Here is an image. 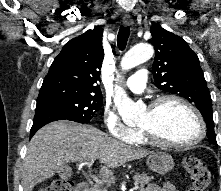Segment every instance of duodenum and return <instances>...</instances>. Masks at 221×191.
I'll list each match as a JSON object with an SVG mask.
<instances>
[{
	"mask_svg": "<svg viewBox=\"0 0 221 191\" xmlns=\"http://www.w3.org/2000/svg\"><path fill=\"white\" fill-rule=\"evenodd\" d=\"M74 191H90V185L87 181H81L75 186Z\"/></svg>",
	"mask_w": 221,
	"mask_h": 191,
	"instance_id": "1",
	"label": "duodenum"
}]
</instances>
